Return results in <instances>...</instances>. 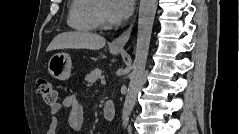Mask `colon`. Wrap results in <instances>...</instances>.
I'll return each instance as SVG.
<instances>
[{
  "instance_id": "1",
  "label": "colon",
  "mask_w": 239,
  "mask_h": 134,
  "mask_svg": "<svg viewBox=\"0 0 239 134\" xmlns=\"http://www.w3.org/2000/svg\"><path fill=\"white\" fill-rule=\"evenodd\" d=\"M37 91L48 105L56 104L57 95L50 81L39 79L37 82Z\"/></svg>"
}]
</instances>
